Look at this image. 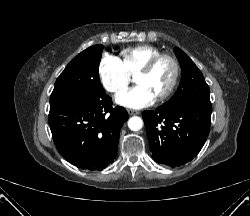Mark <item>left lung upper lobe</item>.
<instances>
[{
    "instance_id": "1",
    "label": "left lung upper lobe",
    "mask_w": 250,
    "mask_h": 216,
    "mask_svg": "<svg viewBox=\"0 0 250 216\" xmlns=\"http://www.w3.org/2000/svg\"><path fill=\"white\" fill-rule=\"evenodd\" d=\"M174 52L181 65V81L177 92L162 107L166 110L188 104L211 106L210 90L205 79L195 63L178 47Z\"/></svg>"
}]
</instances>
